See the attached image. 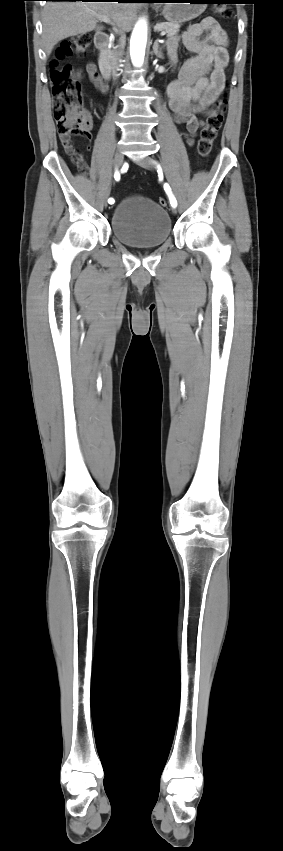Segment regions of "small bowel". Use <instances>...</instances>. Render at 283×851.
<instances>
[{"label":"small bowel","mask_w":283,"mask_h":851,"mask_svg":"<svg viewBox=\"0 0 283 851\" xmlns=\"http://www.w3.org/2000/svg\"><path fill=\"white\" fill-rule=\"evenodd\" d=\"M194 53L180 69L178 79L167 88L168 105L176 124L184 126V136L189 145L194 142L202 121L199 116L212 112V107L225 87V68L229 62V39L226 31L212 17L188 27L180 36L170 37L166 43L170 60L176 61L179 43ZM86 73L98 94H106L110 83L93 63L86 65ZM81 73H77V78ZM90 138V137H89ZM71 157L77 152L71 140H61ZM89 148V146H88ZM84 166L85 161H84Z\"/></svg>","instance_id":"obj_1"}]
</instances>
